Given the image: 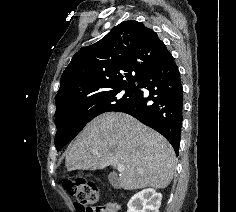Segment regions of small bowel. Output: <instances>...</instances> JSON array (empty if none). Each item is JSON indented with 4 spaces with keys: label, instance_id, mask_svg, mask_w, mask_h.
I'll list each match as a JSON object with an SVG mask.
<instances>
[{
    "label": "small bowel",
    "instance_id": "1",
    "mask_svg": "<svg viewBox=\"0 0 236 212\" xmlns=\"http://www.w3.org/2000/svg\"><path fill=\"white\" fill-rule=\"evenodd\" d=\"M103 212H121V205L116 202L109 203L103 207Z\"/></svg>",
    "mask_w": 236,
    "mask_h": 212
}]
</instances>
